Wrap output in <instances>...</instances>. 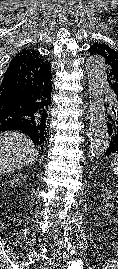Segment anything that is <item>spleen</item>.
I'll list each match as a JSON object with an SVG mask.
<instances>
[{
	"instance_id": "3e777b00",
	"label": "spleen",
	"mask_w": 118,
	"mask_h": 269,
	"mask_svg": "<svg viewBox=\"0 0 118 269\" xmlns=\"http://www.w3.org/2000/svg\"><path fill=\"white\" fill-rule=\"evenodd\" d=\"M111 167L115 175L118 176V154H115L112 162H111Z\"/></svg>"
}]
</instances>
